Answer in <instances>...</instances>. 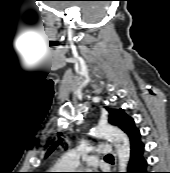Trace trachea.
Listing matches in <instances>:
<instances>
[{
    "label": "trachea",
    "instance_id": "trachea-1",
    "mask_svg": "<svg viewBox=\"0 0 170 173\" xmlns=\"http://www.w3.org/2000/svg\"><path fill=\"white\" fill-rule=\"evenodd\" d=\"M106 158H113V156L112 155H107Z\"/></svg>",
    "mask_w": 170,
    "mask_h": 173
}]
</instances>
